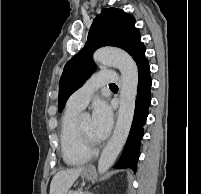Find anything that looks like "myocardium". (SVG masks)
Instances as JSON below:
<instances>
[{
	"label": "myocardium",
	"mask_w": 201,
	"mask_h": 194,
	"mask_svg": "<svg viewBox=\"0 0 201 194\" xmlns=\"http://www.w3.org/2000/svg\"><path fill=\"white\" fill-rule=\"evenodd\" d=\"M77 131L83 147L88 150L90 153L95 149L97 143L94 140H91L82 130L80 122L77 123Z\"/></svg>",
	"instance_id": "myocardium-1"
}]
</instances>
